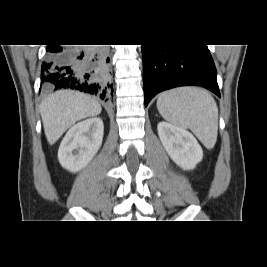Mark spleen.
I'll list each match as a JSON object with an SVG mask.
<instances>
[{
    "instance_id": "spleen-1",
    "label": "spleen",
    "mask_w": 267,
    "mask_h": 267,
    "mask_svg": "<svg viewBox=\"0 0 267 267\" xmlns=\"http://www.w3.org/2000/svg\"><path fill=\"white\" fill-rule=\"evenodd\" d=\"M157 109L168 122L189 128L202 144L212 149L217 141L218 108L210 93L198 87H181L161 93Z\"/></svg>"
}]
</instances>
